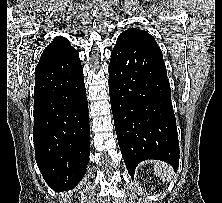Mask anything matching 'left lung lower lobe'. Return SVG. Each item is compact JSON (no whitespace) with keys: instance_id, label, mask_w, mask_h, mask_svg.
Listing matches in <instances>:
<instances>
[{"instance_id":"0a47b994","label":"left lung lower lobe","mask_w":222,"mask_h":203,"mask_svg":"<svg viewBox=\"0 0 222 203\" xmlns=\"http://www.w3.org/2000/svg\"><path fill=\"white\" fill-rule=\"evenodd\" d=\"M114 124L126 167L134 176L144 160L177 170L179 142L162 52L142 34L118 37L109 64Z\"/></svg>"}]
</instances>
